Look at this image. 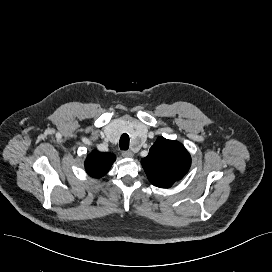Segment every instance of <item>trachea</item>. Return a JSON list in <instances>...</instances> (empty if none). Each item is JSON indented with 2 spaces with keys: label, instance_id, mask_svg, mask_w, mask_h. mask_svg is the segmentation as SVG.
<instances>
[{
  "label": "trachea",
  "instance_id": "obj_1",
  "mask_svg": "<svg viewBox=\"0 0 272 272\" xmlns=\"http://www.w3.org/2000/svg\"><path fill=\"white\" fill-rule=\"evenodd\" d=\"M119 146H120L121 150H128V148H129L128 134H126V133L122 134L120 141H119Z\"/></svg>",
  "mask_w": 272,
  "mask_h": 272
}]
</instances>
